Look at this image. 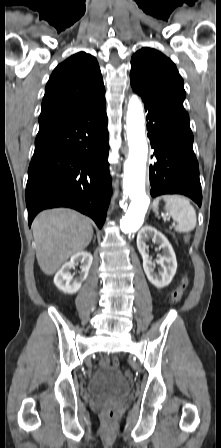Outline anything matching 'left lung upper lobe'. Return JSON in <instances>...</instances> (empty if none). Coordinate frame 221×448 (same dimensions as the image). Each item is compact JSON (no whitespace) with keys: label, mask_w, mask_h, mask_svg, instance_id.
I'll list each match as a JSON object with an SVG mask.
<instances>
[{"label":"left lung upper lobe","mask_w":221,"mask_h":448,"mask_svg":"<svg viewBox=\"0 0 221 448\" xmlns=\"http://www.w3.org/2000/svg\"><path fill=\"white\" fill-rule=\"evenodd\" d=\"M130 82L145 104L190 127L183 107L186 93L175 64L152 48L138 50L131 59Z\"/></svg>","instance_id":"5c2ea615"}]
</instances>
